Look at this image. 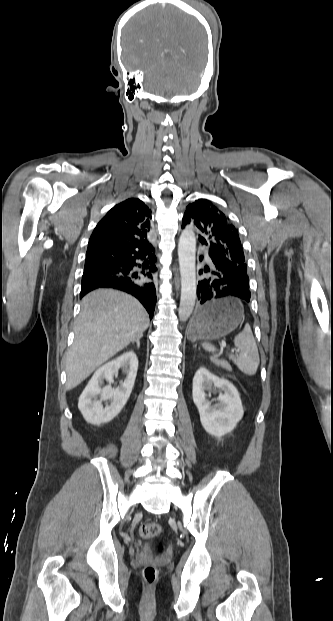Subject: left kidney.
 Here are the masks:
<instances>
[{
  "mask_svg": "<svg viewBox=\"0 0 333 621\" xmlns=\"http://www.w3.org/2000/svg\"><path fill=\"white\" fill-rule=\"evenodd\" d=\"M214 388H219L223 393L215 399L218 403L212 405V401L206 399L205 392ZM192 396L203 428L215 437L220 438L233 431L244 415L235 386L228 380L211 374L204 367L199 368L193 377Z\"/></svg>",
  "mask_w": 333,
  "mask_h": 621,
  "instance_id": "5707ae66",
  "label": "left kidney"
}]
</instances>
